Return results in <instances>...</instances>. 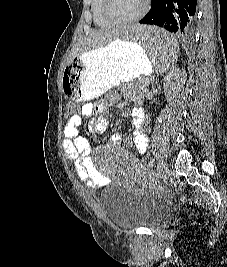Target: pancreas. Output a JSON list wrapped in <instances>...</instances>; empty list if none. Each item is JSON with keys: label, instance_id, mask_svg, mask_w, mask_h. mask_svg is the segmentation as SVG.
Returning a JSON list of instances; mask_svg holds the SVG:
<instances>
[{"label": "pancreas", "instance_id": "cf45deb5", "mask_svg": "<svg viewBox=\"0 0 227 267\" xmlns=\"http://www.w3.org/2000/svg\"><path fill=\"white\" fill-rule=\"evenodd\" d=\"M150 84V80L147 78H143L137 82L134 83H129V84H125L123 85V87H132L135 90H139L141 93H145L147 91V87Z\"/></svg>", "mask_w": 227, "mask_h": 267}]
</instances>
